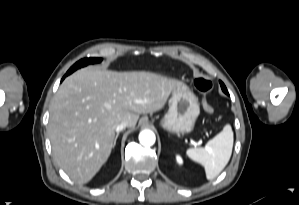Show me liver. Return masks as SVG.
Here are the masks:
<instances>
[{
  "instance_id": "obj_1",
  "label": "liver",
  "mask_w": 299,
  "mask_h": 205,
  "mask_svg": "<svg viewBox=\"0 0 299 205\" xmlns=\"http://www.w3.org/2000/svg\"><path fill=\"white\" fill-rule=\"evenodd\" d=\"M180 82L145 71L85 67L68 76L50 104L48 133L57 164L76 183L89 182L108 160L115 128L160 110Z\"/></svg>"
}]
</instances>
